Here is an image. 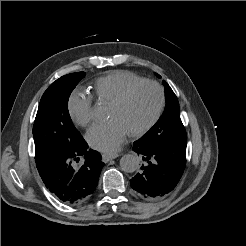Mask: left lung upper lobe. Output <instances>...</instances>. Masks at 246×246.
I'll return each instance as SVG.
<instances>
[{
	"mask_svg": "<svg viewBox=\"0 0 246 246\" xmlns=\"http://www.w3.org/2000/svg\"><path fill=\"white\" fill-rule=\"evenodd\" d=\"M160 77L159 75H157ZM166 107L156 124L141 138L146 143H186L187 135L180 119L179 102L171 87L163 81Z\"/></svg>",
	"mask_w": 246,
	"mask_h": 246,
	"instance_id": "1",
	"label": "left lung upper lobe"
}]
</instances>
